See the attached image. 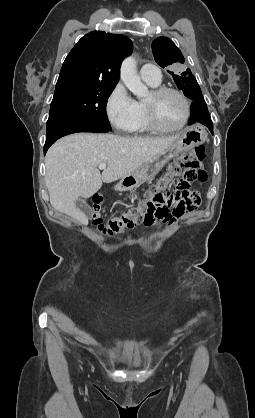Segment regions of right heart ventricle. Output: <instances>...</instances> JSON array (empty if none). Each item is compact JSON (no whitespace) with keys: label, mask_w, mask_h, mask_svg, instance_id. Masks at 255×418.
<instances>
[{"label":"right heart ventricle","mask_w":255,"mask_h":418,"mask_svg":"<svg viewBox=\"0 0 255 418\" xmlns=\"http://www.w3.org/2000/svg\"><path fill=\"white\" fill-rule=\"evenodd\" d=\"M147 84L152 88H157L160 85V83L158 84L147 83ZM137 107H138V116H137L136 123L134 127L132 128L131 132L133 133L150 132L152 129L149 127L148 122H147L144 102L142 101L137 102Z\"/></svg>","instance_id":"1"}]
</instances>
